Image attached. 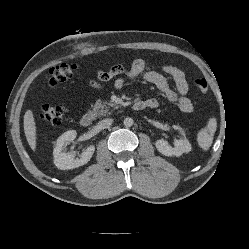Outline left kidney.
Here are the masks:
<instances>
[{"mask_svg":"<svg viewBox=\"0 0 249 249\" xmlns=\"http://www.w3.org/2000/svg\"><path fill=\"white\" fill-rule=\"evenodd\" d=\"M174 129L183 132L182 128L174 125ZM157 150L165 156H181L183 153H188L191 151V144L186 137H183L174 142V147L168 144L167 141L161 139L157 140L155 143Z\"/></svg>","mask_w":249,"mask_h":249,"instance_id":"left-kidney-1","label":"left kidney"}]
</instances>
